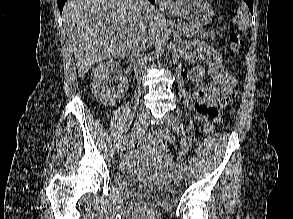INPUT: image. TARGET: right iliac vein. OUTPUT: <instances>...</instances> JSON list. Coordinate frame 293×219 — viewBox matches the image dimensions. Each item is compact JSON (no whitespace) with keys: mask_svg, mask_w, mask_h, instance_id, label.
I'll return each instance as SVG.
<instances>
[{"mask_svg":"<svg viewBox=\"0 0 293 219\" xmlns=\"http://www.w3.org/2000/svg\"><path fill=\"white\" fill-rule=\"evenodd\" d=\"M149 114L150 112L148 109H144L140 112V114L137 116V119L134 125L135 130L141 128L146 123L147 119L149 118ZM126 143H127V139L118 143L117 153H121L124 150Z\"/></svg>","mask_w":293,"mask_h":219,"instance_id":"obj_1","label":"right iliac vein"}]
</instances>
